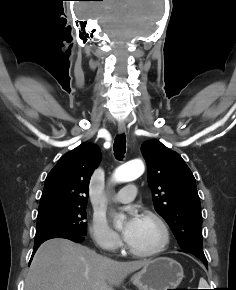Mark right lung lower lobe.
<instances>
[{"instance_id": "obj_1", "label": "right lung lower lobe", "mask_w": 236, "mask_h": 290, "mask_svg": "<svg viewBox=\"0 0 236 290\" xmlns=\"http://www.w3.org/2000/svg\"><path fill=\"white\" fill-rule=\"evenodd\" d=\"M52 238H66V239H69L71 241H74V242H82L84 240V237L83 236H67V235H59V236H54V237H51V238H47V239H44V240H41V241H38V242H35L34 243V249H33V254H32V257L34 255V253L36 252L37 248L46 240L48 239H52ZM31 262V260H30Z\"/></svg>"}]
</instances>
